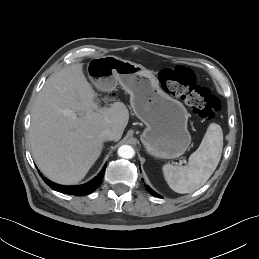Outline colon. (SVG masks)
Segmentation results:
<instances>
[{
  "label": "colon",
  "instance_id": "1",
  "mask_svg": "<svg viewBox=\"0 0 259 259\" xmlns=\"http://www.w3.org/2000/svg\"><path fill=\"white\" fill-rule=\"evenodd\" d=\"M162 88L184 101L201 119H213L220 101L207 88L197 84L193 71L184 66L166 67L159 73Z\"/></svg>",
  "mask_w": 259,
  "mask_h": 259
}]
</instances>
